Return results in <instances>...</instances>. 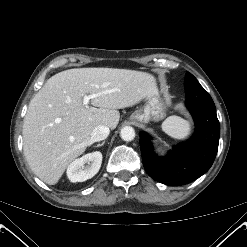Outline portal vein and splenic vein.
Returning a JSON list of instances; mask_svg holds the SVG:
<instances>
[{"instance_id": "portal-vein-and-splenic-vein-1", "label": "portal vein and splenic vein", "mask_w": 247, "mask_h": 247, "mask_svg": "<svg viewBox=\"0 0 247 247\" xmlns=\"http://www.w3.org/2000/svg\"><path fill=\"white\" fill-rule=\"evenodd\" d=\"M97 95H85L83 98L84 105H87L89 103V100L92 98H95Z\"/></svg>"}]
</instances>
